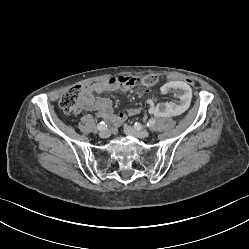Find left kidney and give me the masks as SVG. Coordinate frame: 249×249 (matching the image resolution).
<instances>
[{
	"mask_svg": "<svg viewBox=\"0 0 249 249\" xmlns=\"http://www.w3.org/2000/svg\"><path fill=\"white\" fill-rule=\"evenodd\" d=\"M161 95L170 103H153L149 112L153 116H175L185 114L191 107L193 94L191 85L183 79L164 81L160 85Z\"/></svg>",
	"mask_w": 249,
	"mask_h": 249,
	"instance_id": "obj_1",
	"label": "left kidney"
}]
</instances>
